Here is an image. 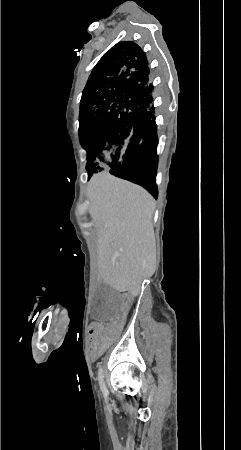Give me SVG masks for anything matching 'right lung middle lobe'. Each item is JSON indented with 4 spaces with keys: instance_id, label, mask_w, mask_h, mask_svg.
Listing matches in <instances>:
<instances>
[{
    "instance_id": "right-lung-middle-lobe-1",
    "label": "right lung middle lobe",
    "mask_w": 241,
    "mask_h": 450,
    "mask_svg": "<svg viewBox=\"0 0 241 450\" xmlns=\"http://www.w3.org/2000/svg\"><path fill=\"white\" fill-rule=\"evenodd\" d=\"M146 100L121 97L112 85L87 83L81 98L79 138L87 150L89 174L111 169L142 142L144 135L129 128L145 116Z\"/></svg>"
}]
</instances>
